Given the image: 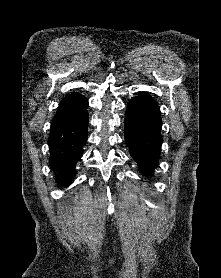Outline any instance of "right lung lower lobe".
<instances>
[{
  "label": "right lung lower lobe",
  "instance_id": "1",
  "mask_svg": "<svg viewBox=\"0 0 221 278\" xmlns=\"http://www.w3.org/2000/svg\"><path fill=\"white\" fill-rule=\"evenodd\" d=\"M87 108L77 117L51 129L48 138L49 163L57 183L61 185L71 183L75 176V165L83 154V145L88 137Z\"/></svg>",
  "mask_w": 221,
  "mask_h": 278
}]
</instances>
